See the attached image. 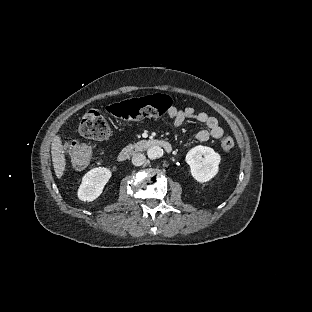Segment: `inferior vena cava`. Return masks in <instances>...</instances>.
<instances>
[{
	"mask_svg": "<svg viewBox=\"0 0 312 312\" xmlns=\"http://www.w3.org/2000/svg\"><path fill=\"white\" fill-rule=\"evenodd\" d=\"M145 160H146L145 155H143L141 153L134 154L133 157H132V163L135 166L143 165Z\"/></svg>",
	"mask_w": 312,
	"mask_h": 312,
	"instance_id": "1",
	"label": "inferior vena cava"
}]
</instances>
